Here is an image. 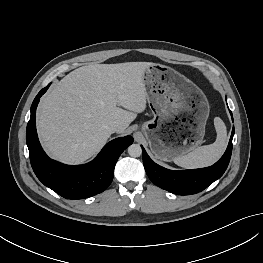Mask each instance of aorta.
Returning <instances> with one entry per match:
<instances>
[{
    "label": "aorta",
    "mask_w": 263,
    "mask_h": 263,
    "mask_svg": "<svg viewBox=\"0 0 263 263\" xmlns=\"http://www.w3.org/2000/svg\"><path fill=\"white\" fill-rule=\"evenodd\" d=\"M128 154L131 157H139L142 154V149L139 144H132L128 147Z\"/></svg>",
    "instance_id": "1"
}]
</instances>
